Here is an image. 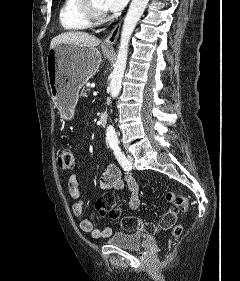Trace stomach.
<instances>
[{
    "instance_id": "obj_1",
    "label": "stomach",
    "mask_w": 240,
    "mask_h": 281,
    "mask_svg": "<svg viewBox=\"0 0 240 281\" xmlns=\"http://www.w3.org/2000/svg\"><path fill=\"white\" fill-rule=\"evenodd\" d=\"M109 47L103 46L104 50ZM101 53L95 47L60 43L47 54L51 97L64 116L70 117L81 87L97 72Z\"/></svg>"
}]
</instances>
